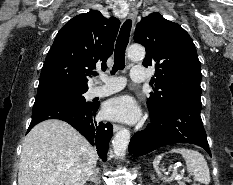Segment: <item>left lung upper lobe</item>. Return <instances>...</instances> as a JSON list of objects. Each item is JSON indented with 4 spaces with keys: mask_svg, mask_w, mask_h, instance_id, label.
I'll list each match as a JSON object with an SVG mask.
<instances>
[{
    "mask_svg": "<svg viewBox=\"0 0 233 185\" xmlns=\"http://www.w3.org/2000/svg\"><path fill=\"white\" fill-rule=\"evenodd\" d=\"M134 41L145 47V67L155 66L154 91L147 106L158 116L180 96L201 94V65L189 34L179 25L153 12L138 23Z\"/></svg>",
    "mask_w": 233,
    "mask_h": 185,
    "instance_id": "1",
    "label": "left lung upper lobe"
}]
</instances>
